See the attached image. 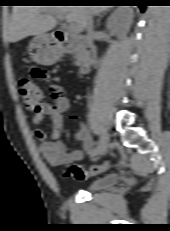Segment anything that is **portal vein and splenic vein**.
<instances>
[{
  "mask_svg": "<svg viewBox=\"0 0 170 231\" xmlns=\"http://www.w3.org/2000/svg\"><path fill=\"white\" fill-rule=\"evenodd\" d=\"M58 19H59V20H63L62 15H58ZM69 28H70L71 31H73V32H76V31H77V28H76L75 24H73V23H70V24H69Z\"/></svg>",
  "mask_w": 170,
  "mask_h": 231,
  "instance_id": "18ae733b",
  "label": "portal vein and splenic vein"
}]
</instances>
